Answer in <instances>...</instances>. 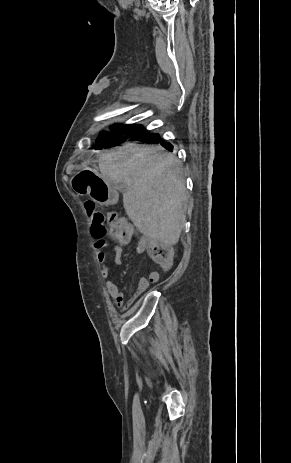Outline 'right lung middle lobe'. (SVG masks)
<instances>
[{"label": "right lung middle lobe", "instance_id": "1", "mask_svg": "<svg viewBox=\"0 0 291 463\" xmlns=\"http://www.w3.org/2000/svg\"><path fill=\"white\" fill-rule=\"evenodd\" d=\"M113 132L102 131L96 139L93 148L102 149L120 145L126 139L130 138L131 141H144L155 137L158 134H149L146 129L140 125H113L111 127Z\"/></svg>", "mask_w": 291, "mask_h": 463}]
</instances>
